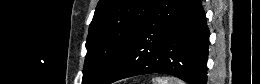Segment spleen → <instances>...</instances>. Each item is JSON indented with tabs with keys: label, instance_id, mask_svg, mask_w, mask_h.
Wrapping results in <instances>:
<instances>
[{
	"label": "spleen",
	"instance_id": "3e777b00",
	"mask_svg": "<svg viewBox=\"0 0 260 84\" xmlns=\"http://www.w3.org/2000/svg\"><path fill=\"white\" fill-rule=\"evenodd\" d=\"M153 84H184V82L176 77H154L152 79Z\"/></svg>",
	"mask_w": 260,
	"mask_h": 84
}]
</instances>
